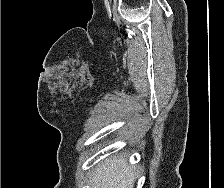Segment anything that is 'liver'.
<instances>
[{"label":"liver","instance_id":"1","mask_svg":"<svg viewBox=\"0 0 224 188\" xmlns=\"http://www.w3.org/2000/svg\"><path fill=\"white\" fill-rule=\"evenodd\" d=\"M136 178L135 169L122 157L106 159L92 177V188H133Z\"/></svg>","mask_w":224,"mask_h":188}]
</instances>
